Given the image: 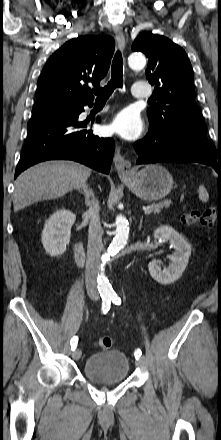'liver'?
I'll return each instance as SVG.
<instances>
[{
	"label": "liver",
	"instance_id": "obj_1",
	"mask_svg": "<svg viewBox=\"0 0 221 440\" xmlns=\"http://www.w3.org/2000/svg\"><path fill=\"white\" fill-rule=\"evenodd\" d=\"M91 170L71 161H48L24 171L15 181L14 211L64 196L86 185Z\"/></svg>",
	"mask_w": 221,
	"mask_h": 440
}]
</instances>
